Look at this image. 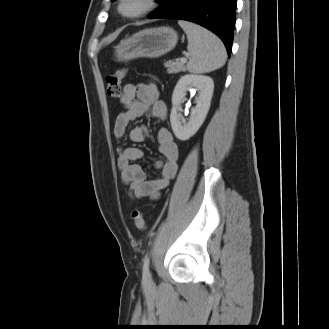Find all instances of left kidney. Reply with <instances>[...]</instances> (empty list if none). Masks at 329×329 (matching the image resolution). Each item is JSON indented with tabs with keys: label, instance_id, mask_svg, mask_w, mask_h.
Wrapping results in <instances>:
<instances>
[{
	"label": "left kidney",
	"instance_id": "left-kidney-1",
	"mask_svg": "<svg viewBox=\"0 0 329 329\" xmlns=\"http://www.w3.org/2000/svg\"><path fill=\"white\" fill-rule=\"evenodd\" d=\"M199 92L196 97V106L192 109L189 121L186 122L180 111L181 101L190 90ZM214 90V82L211 77L205 75L186 74L182 76L175 86L172 95V110L170 123L175 136L182 141L192 137L203 124L210 108Z\"/></svg>",
	"mask_w": 329,
	"mask_h": 329
}]
</instances>
